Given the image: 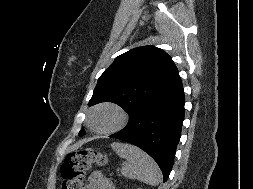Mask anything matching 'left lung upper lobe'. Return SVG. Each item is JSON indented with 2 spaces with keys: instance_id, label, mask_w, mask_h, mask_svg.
<instances>
[{
  "instance_id": "obj_1",
  "label": "left lung upper lobe",
  "mask_w": 253,
  "mask_h": 189,
  "mask_svg": "<svg viewBox=\"0 0 253 189\" xmlns=\"http://www.w3.org/2000/svg\"><path fill=\"white\" fill-rule=\"evenodd\" d=\"M179 78L174 62L163 50L154 46L138 47L118 56L103 72L88 105L113 102L131 118ZM79 135H84V131Z\"/></svg>"
}]
</instances>
